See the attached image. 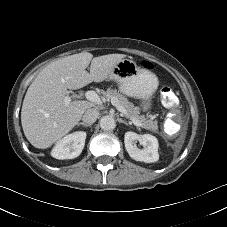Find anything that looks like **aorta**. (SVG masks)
I'll list each match as a JSON object with an SVG mask.
<instances>
[{"label": "aorta", "mask_w": 227, "mask_h": 227, "mask_svg": "<svg viewBox=\"0 0 227 227\" xmlns=\"http://www.w3.org/2000/svg\"><path fill=\"white\" fill-rule=\"evenodd\" d=\"M116 126L115 120L112 116H103L100 120V127L105 131L114 129Z\"/></svg>", "instance_id": "aorta-1"}]
</instances>
